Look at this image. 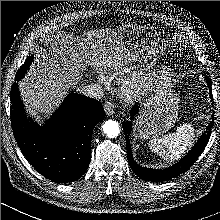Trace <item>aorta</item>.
<instances>
[{"mask_svg": "<svg viewBox=\"0 0 220 220\" xmlns=\"http://www.w3.org/2000/svg\"><path fill=\"white\" fill-rule=\"evenodd\" d=\"M104 133L109 137V138H115L119 135L120 129L118 122L113 121V120H108L102 125Z\"/></svg>", "mask_w": 220, "mask_h": 220, "instance_id": "1", "label": "aorta"}]
</instances>
